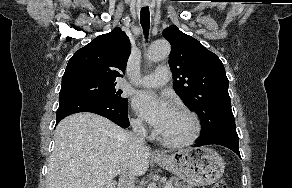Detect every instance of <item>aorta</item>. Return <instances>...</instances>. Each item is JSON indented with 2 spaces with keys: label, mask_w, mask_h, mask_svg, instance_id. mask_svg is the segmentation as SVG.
Listing matches in <instances>:
<instances>
[{
  "label": "aorta",
  "mask_w": 292,
  "mask_h": 188,
  "mask_svg": "<svg viewBox=\"0 0 292 188\" xmlns=\"http://www.w3.org/2000/svg\"><path fill=\"white\" fill-rule=\"evenodd\" d=\"M171 51L170 44L166 40L154 41L147 52L148 59L152 62H158L166 58ZM148 188H155L154 185H149Z\"/></svg>",
  "instance_id": "obj_1"
}]
</instances>
